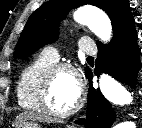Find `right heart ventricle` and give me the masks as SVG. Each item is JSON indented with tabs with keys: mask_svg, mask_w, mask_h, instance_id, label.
<instances>
[{
	"mask_svg": "<svg viewBox=\"0 0 142 128\" xmlns=\"http://www.w3.org/2000/svg\"><path fill=\"white\" fill-rule=\"evenodd\" d=\"M54 64L55 62L41 54L22 70L17 81L16 93L18 104L23 109L41 110L38 100L40 83L46 70Z\"/></svg>",
	"mask_w": 142,
	"mask_h": 128,
	"instance_id": "obj_1",
	"label": "right heart ventricle"
}]
</instances>
